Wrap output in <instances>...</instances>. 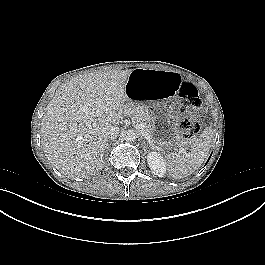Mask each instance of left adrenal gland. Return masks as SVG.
<instances>
[{
	"mask_svg": "<svg viewBox=\"0 0 265 265\" xmlns=\"http://www.w3.org/2000/svg\"><path fill=\"white\" fill-rule=\"evenodd\" d=\"M143 144H144V145H143V148H145V145H146V144H145V141H144V140H143Z\"/></svg>",
	"mask_w": 265,
	"mask_h": 265,
	"instance_id": "obj_1",
	"label": "left adrenal gland"
}]
</instances>
